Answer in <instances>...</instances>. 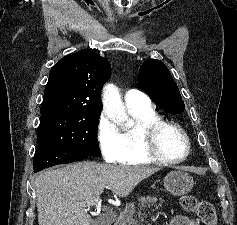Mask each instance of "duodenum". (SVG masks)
<instances>
[{
	"label": "duodenum",
	"mask_w": 237,
	"mask_h": 225,
	"mask_svg": "<svg viewBox=\"0 0 237 225\" xmlns=\"http://www.w3.org/2000/svg\"><path fill=\"white\" fill-rule=\"evenodd\" d=\"M113 225H122L121 219H119V218L116 219V220L114 221Z\"/></svg>",
	"instance_id": "1"
}]
</instances>
